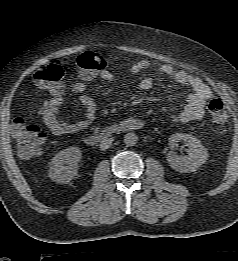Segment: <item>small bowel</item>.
Instances as JSON below:
<instances>
[{
	"instance_id": "c3829d8e",
	"label": "small bowel",
	"mask_w": 238,
	"mask_h": 261,
	"mask_svg": "<svg viewBox=\"0 0 238 261\" xmlns=\"http://www.w3.org/2000/svg\"><path fill=\"white\" fill-rule=\"evenodd\" d=\"M150 68H154L159 75L170 77L176 83L191 89V92L187 97L186 105L178 115L173 117V123L185 124L199 120L203 117L205 105L211 98L212 93L210 88L200 78L195 77L184 70L175 69L169 64L147 59L136 62L130 68V72L132 74H138ZM95 77H99L105 81H112L115 78V75L112 71L104 67L96 74H83L81 80L73 84L71 90L74 94L78 95L79 103L85 108V114L81 120L67 122L59 116L60 108L64 102L63 92H53L52 97L43 103L39 110V114L44 125L52 134L57 136L74 134L91 126L96 117L97 107L94 100L85 94V91L87 89V82ZM153 84L154 80L152 77H144L139 82V88L148 91L153 87ZM123 122L134 123L136 128H140L144 124L142 120L136 118H129Z\"/></svg>"
}]
</instances>
